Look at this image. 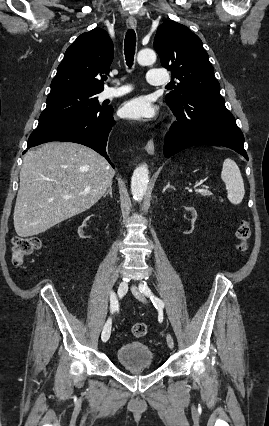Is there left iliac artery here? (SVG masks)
I'll return each mask as SVG.
<instances>
[{
	"instance_id": "obj_1",
	"label": "left iliac artery",
	"mask_w": 269,
	"mask_h": 426,
	"mask_svg": "<svg viewBox=\"0 0 269 426\" xmlns=\"http://www.w3.org/2000/svg\"><path fill=\"white\" fill-rule=\"evenodd\" d=\"M139 290H140V291H141L144 295H146L147 297H149V298H150V300L152 301L153 305H154L157 309H160V308H163V307H164V302H163L161 299H159V298L155 297V296L152 294V292H151L150 288L147 286V284H146V283L141 284V285L139 286Z\"/></svg>"
}]
</instances>
